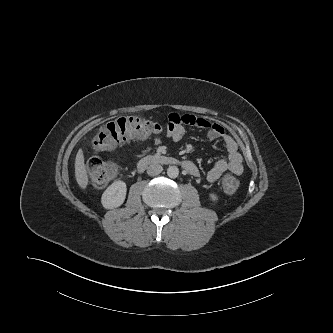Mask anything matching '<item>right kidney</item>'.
<instances>
[{
  "label": "right kidney",
  "mask_w": 333,
  "mask_h": 333,
  "mask_svg": "<svg viewBox=\"0 0 333 333\" xmlns=\"http://www.w3.org/2000/svg\"><path fill=\"white\" fill-rule=\"evenodd\" d=\"M126 183L124 181L113 182L102 194L101 202L104 208L112 209L123 204L126 197Z\"/></svg>",
  "instance_id": "1"
}]
</instances>
